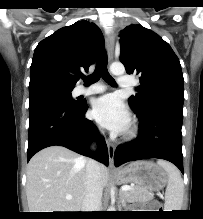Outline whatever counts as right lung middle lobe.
<instances>
[{
    "instance_id": "right-lung-middle-lobe-1",
    "label": "right lung middle lobe",
    "mask_w": 203,
    "mask_h": 219,
    "mask_svg": "<svg viewBox=\"0 0 203 219\" xmlns=\"http://www.w3.org/2000/svg\"><path fill=\"white\" fill-rule=\"evenodd\" d=\"M73 86L65 85L54 80H37L29 83V99L38 95H54L65 100L70 105H77L73 101L71 91Z\"/></svg>"
}]
</instances>
